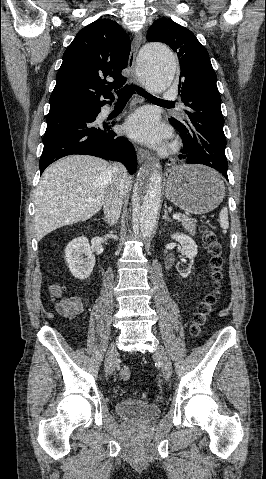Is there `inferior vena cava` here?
<instances>
[{"instance_id":"inferior-vena-cava-1","label":"inferior vena cava","mask_w":266,"mask_h":479,"mask_svg":"<svg viewBox=\"0 0 266 479\" xmlns=\"http://www.w3.org/2000/svg\"><path fill=\"white\" fill-rule=\"evenodd\" d=\"M111 181L104 201V214L107 221L114 225L121 213L123 198L126 194V184L129 178L127 170L121 164L111 166Z\"/></svg>"}]
</instances>
